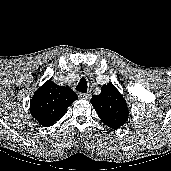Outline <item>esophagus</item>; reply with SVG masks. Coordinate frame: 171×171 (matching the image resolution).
Wrapping results in <instances>:
<instances>
[{
  "instance_id": "1",
  "label": "esophagus",
  "mask_w": 171,
  "mask_h": 171,
  "mask_svg": "<svg viewBox=\"0 0 171 171\" xmlns=\"http://www.w3.org/2000/svg\"><path fill=\"white\" fill-rule=\"evenodd\" d=\"M78 96H79V98L85 99V100H88L91 97V95L88 93H79Z\"/></svg>"
}]
</instances>
